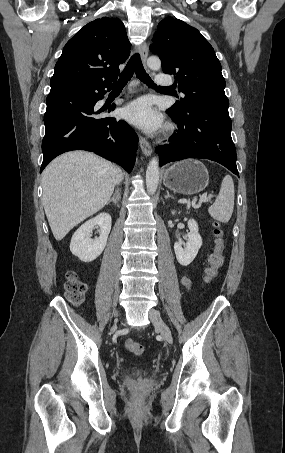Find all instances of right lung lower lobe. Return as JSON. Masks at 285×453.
I'll return each instance as SVG.
<instances>
[{
	"label": "right lung lower lobe",
	"mask_w": 285,
	"mask_h": 453,
	"mask_svg": "<svg viewBox=\"0 0 285 453\" xmlns=\"http://www.w3.org/2000/svg\"><path fill=\"white\" fill-rule=\"evenodd\" d=\"M81 84L51 86L44 115L45 136L42 141L43 163L40 172L56 156L72 150L94 152L131 172L136 157L138 137L123 120L100 118L96 102L104 97L105 88ZM114 110L109 107L108 111Z\"/></svg>",
	"instance_id": "right-lung-lower-lobe-1"
}]
</instances>
